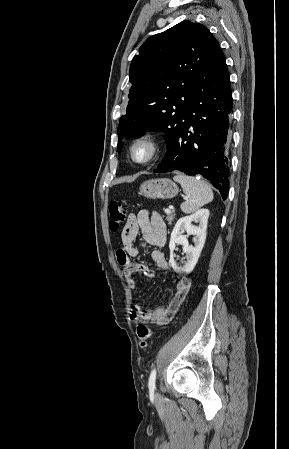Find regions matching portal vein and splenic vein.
<instances>
[{
  "label": "portal vein and splenic vein",
  "instance_id": "18ae733b",
  "mask_svg": "<svg viewBox=\"0 0 289 449\" xmlns=\"http://www.w3.org/2000/svg\"><path fill=\"white\" fill-rule=\"evenodd\" d=\"M171 212V209L170 208H166L165 209V213H170Z\"/></svg>",
  "mask_w": 289,
  "mask_h": 449
}]
</instances>
